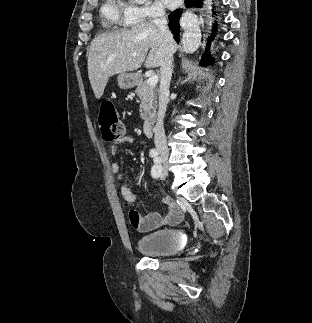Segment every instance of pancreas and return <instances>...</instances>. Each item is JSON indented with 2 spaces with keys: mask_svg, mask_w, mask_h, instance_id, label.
<instances>
[{
  "mask_svg": "<svg viewBox=\"0 0 312 323\" xmlns=\"http://www.w3.org/2000/svg\"><path fill=\"white\" fill-rule=\"evenodd\" d=\"M135 94H137L141 100L139 112L142 120L153 118L157 108L155 86H149L148 80H144V82H139V84H137Z\"/></svg>",
  "mask_w": 312,
  "mask_h": 323,
  "instance_id": "1",
  "label": "pancreas"
}]
</instances>
